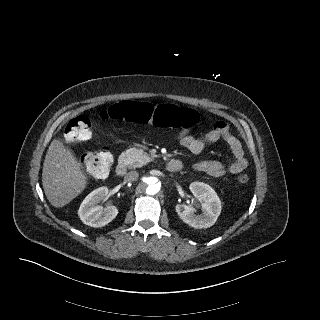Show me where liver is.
Here are the masks:
<instances>
[{
	"instance_id": "1",
	"label": "liver",
	"mask_w": 320,
	"mask_h": 320,
	"mask_svg": "<svg viewBox=\"0 0 320 320\" xmlns=\"http://www.w3.org/2000/svg\"><path fill=\"white\" fill-rule=\"evenodd\" d=\"M86 183L72 152L61 141L53 140L42 170L43 190L51 205L56 208L67 205L85 189Z\"/></svg>"
}]
</instances>
